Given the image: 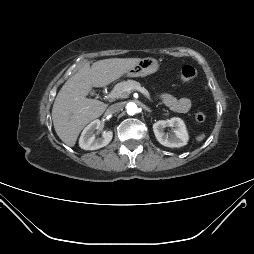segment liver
<instances>
[{
	"mask_svg": "<svg viewBox=\"0 0 254 254\" xmlns=\"http://www.w3.org/2000/svg\"><path fill=\"white\" fill-rule=\"evenodd\" d=\"M140 58H110L90 66L85 63L71 76L57 94L52 120L58 137L73 147L81 130L93 119L100 117L107 105L86 96L92 87H104L123 76Z\"/></svg>",
	"mask_w": 254,
	"mask_h": 254,
	"instance_id": "6515ba94",
	"label": "liver"
}]
</instances>
